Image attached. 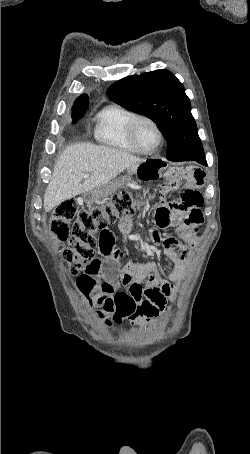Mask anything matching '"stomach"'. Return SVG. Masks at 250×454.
Instances as JSON below:
<instances>
[{
  "label": "stomach",
  "mask_w": 250,
  "mask_h": 454,
  "mask_svg": "<svg viewBox=\"0 0 250 454\" xmlns=\"http://www.w3.org/2000/svg\"><path fill=\"white\" fill-rule=\"evenodd\" d=\"M163 163V161H158L156 159L145 160L142 163L129 167L128 173L130 175H136V177H138L140 180L151 181L153 179L159 178L162 175V170L165 168L164 166H162ZM115 189L116 186L113 183L107 184L103 187L86 193L87 200L95 201L103 199L109 196Z\"/></svg>",
  "instance_id": "stomach-1"
}]
</instances>
